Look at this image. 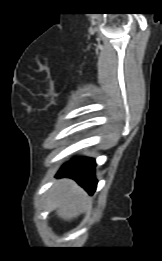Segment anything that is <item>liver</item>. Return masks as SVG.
Listing matches in <instances>:
<instances>
[{
    "label": "liver",
    "instance_id": "1",
    "mask_svg": "<svg viewBox=\"0 0 162 261\" xmlns=\"http://www.w3.org/2000/svg\"><path fill=\"white\" fill-rule=\"evenodd\" d=\"M57 215L63 220L70 221L78 217L91 205L87 194L72 180L62 179L53 187Z\"/></svg>",
    "mask_w": 162,
    "mask_h": 261
}]
</instances>
